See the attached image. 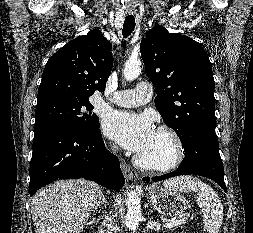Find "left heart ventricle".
Listing matches in <instances>:
<instances>
[{"mask_svg": "<svg viewBox=\"0 0 253 233\" xmlns=\"http://www.w3.org/2000/svg\"><path fill=\"white\" fill-rule=\"evenodd\" d=\"M173 154V145L169 138L155 131V134L145 150L139 153L145 159L152 161H166Z\"/></svg>", "mask_w": 253, "mask_h": 233, "instance_id": "1", "label": "left heart ventricle"}]
</instances>
